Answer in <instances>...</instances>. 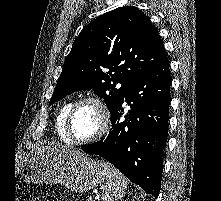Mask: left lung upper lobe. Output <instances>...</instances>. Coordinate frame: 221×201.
I'll use <instances>...</instances> for the list:
<instances>
[{
    "mask_svg": "<svg viewBox=\"0 0 221 201\" xmlns=\"http://www.w3.org/2000/svg\"><path fill=\"white\" fill-rule=\"evenodd\" d=\"M164 57L157 29L143 12L133 6L109 11L74 41L49 104L92 89L112 114L130 88ZM117 84L122 86L115 88Z\"/></svg>",
    "mask_w": 221,
    "mask_h": 201,
    "instance_id": "1",
    "label": "left lung upper lobe"
}]
</instances>
